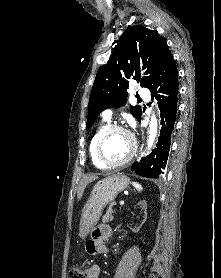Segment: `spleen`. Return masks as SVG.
Segmentation results:
<instances>
[{"mask_svg": "<svg viewBox=\"0 0 221 278\" xmlns=\"http://www.w3.org/2000/svg\"><path fill=\"white\" fill-rule=\"evenodd\" d=\"M132 184H133V186H134L138 191H142V190H143V188H142V186H141L140 184L135 183V182H133Z\"/></svg>", "mask_w": 221, "mask_h": 278, "instance_id": "spleen-1", "label": "spleen"}]
</instances>
